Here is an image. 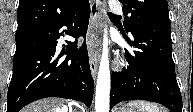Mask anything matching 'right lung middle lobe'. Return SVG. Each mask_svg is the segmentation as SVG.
Returning <instances> with one entry per match:
<instances>
[{
	"label": "right lung middle lobe",
	"mask_w": 193,
	"mask_h": 112,
	"mask_svg": "<svg viewBox=\"0 0 193 112\" xmlns=\"http://www.w3.org/2000/svg\"><path fill=\"white\" fill-rule=\"evenodd\" d=\"M37 30H39V29L16 32V40H19V39H21V38L27 37V36H29L30 34L36 32Z\"/></svg>",
	"instance_id": "right-lung-middle-lobe-1"
}]
</instances>
